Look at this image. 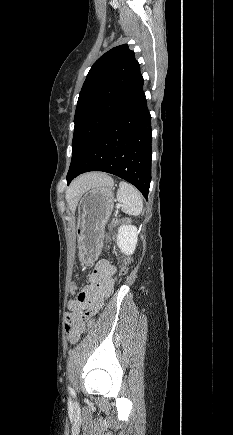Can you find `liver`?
Listing matches in <instances>:
<instances>
[{
	"label": "liver",
	"instance_id": "obj_1",
	"mask_svg": "<svg viewBox=\"0 0 233 435\" xmlns=\"http://www.w3.org/2000/svg\"><path fill=\"white\" fill-rule=\"evenodd\" d=\"M104 173H87L76 178L66 191V201L71 210H74L81 195L96 186L101 185L106 179Z\"/></svg>",
	"mask_w": 233,
	"mask_h": 435
}]
</instances>
